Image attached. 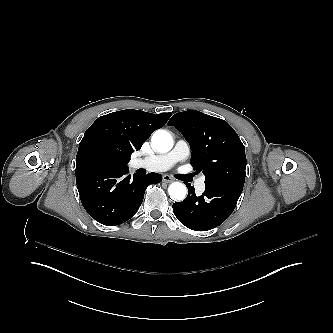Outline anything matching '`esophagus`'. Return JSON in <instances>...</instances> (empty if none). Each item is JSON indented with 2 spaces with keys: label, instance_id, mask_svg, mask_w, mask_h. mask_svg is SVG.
<instances>
[{
  "label": "esophagus",
  "instance_id": "1",
  "mask_svg": "<svg viewBox=\"0 0 333 333\" xmlns=\"http://www.w3.org/2000/svg\"><path fill=\"white\" fill-rule=\"evenodd\" d=\"M163 181L166 182V183H170V182H173V181H174V178H172V177L169 176V175H164V176H163Z\"/></svg>",
  "mask_w": 333,
  "mask_h": 333
}]
</instances>
